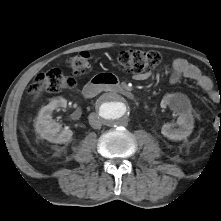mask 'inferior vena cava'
Returning a JSON list of instances; mask_svg holds the SVG:
<instances>
[{
	"label": "inferior vena cava",
	"instance_id": "inferior-vena-cava-1",
	"mask_svg": "<svg viewBox=\"0 0 221 221\" xmlns=\"http://www.w3.org/2000/svg\"><path fill=\"white\" fill-rule=\"evenodd\" d=\"M89 119V124L91 125L92 128L94 129H100L102 126L100 117L96 113H91L88 117Z\"/></svg>",
	"mask_w": 221,
	"mask_h": 221
}]
</instances>
